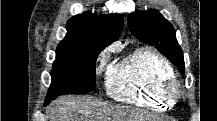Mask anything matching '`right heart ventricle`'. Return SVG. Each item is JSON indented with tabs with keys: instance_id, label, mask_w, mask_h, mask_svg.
Masks as SVG:
<instances>
[{
	"instance_id": "1",
	"label": "right heart ventricle",
	"mask_w": 217,
	"mask_h": 121,
	"mask_svg": "<svg viewBox=\"0 0 217 121\" xmlns=\"http://www.w3.org/2000/svg\"><path fill=\"white\" fill-rule=\"evenodd\" d=\"M171 78L168 60L150 47H140L110 71L106 89L117 101L163 110L172 103L165 92Z\"/></svg>"
}]
</instances>
